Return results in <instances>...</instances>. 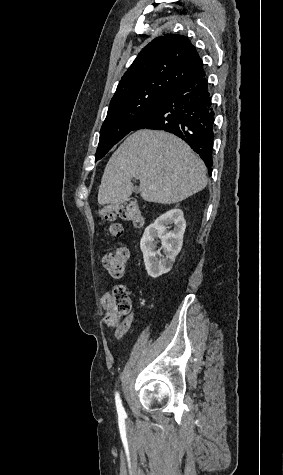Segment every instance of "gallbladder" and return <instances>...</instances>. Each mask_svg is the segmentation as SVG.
Segmentation results:
<instances>
[{
  "instance_id": "obj_1",
  "label": "gallbladder",
  "mask_w": 283,
  "mask_h": 475,
  "mask_svg": "<svg viewBox=\"0 0 283 475\" xmlns=\"http://www.w3.org/2000/svg\"><path fill=\"white\" fill-rule=\"evenodd\" d=\"M134 192H136V194H138L139 188H134Z\"/></svg>"
}]
</instances>
